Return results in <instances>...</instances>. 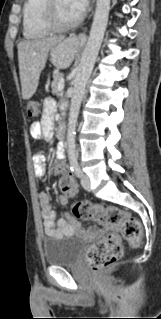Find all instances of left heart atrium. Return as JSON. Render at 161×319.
Returning a JSON list of instances; mask_svg holds the SVG:
<instances>
[{
    "mask_svg": "<svg viewBox=\"0 0 161 319\" xmlns=\"http://www.w3.org/2000/svg\"><path fill=\"white\" fill-rule=\"evenodd\" d=\"M74 11L80 15L87 7L89 0H69Z\"/></svg>",
    "mask_w": 161,
    "mask_h": 319,
    "instance_id": "1",
    "label": "left heart atrium"
}]
</instances>
